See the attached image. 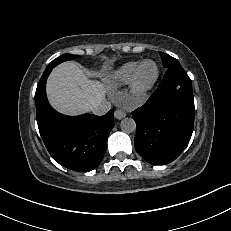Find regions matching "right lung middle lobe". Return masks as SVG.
Here are the masks:
<instances>
[{"mask_svg":"<svg viewBox=\"0 0 231 231\" xmlns=\"http://www.w3.org/2000/svg\"><path fill=\"white\" fill-rule=\"evenodd\" d=\"M77 55H71V54H64L56 59H54L50 64H54L55 66L64 62V61H68V60H72L77 58Z\"/></svg>","mask_w":231,"mask_h":231,"instance_id":"1","label":"right lung middle lobe"}]
</instances>
